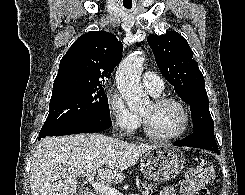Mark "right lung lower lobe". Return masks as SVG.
<instances>
[{"instance_id": "1", "label": "right lung lower lobe", "mask_w": 245, "mask_h": 195, "mask_svg": "<svg viewBox=\"0 0 245 195\" xmlns=\"http://www.w3.org/2000/svg\"><path fill=\"white\" fill-rule=\"evenodd\" d=\"M111 126H112V121L110 117L104 115H98L70 124L63 128H60L48 136H62V135H70V134H78V133H94V132L106 130ZM42 138L44 137H39L38 140Z\"/></svg>"}]
</instances>
